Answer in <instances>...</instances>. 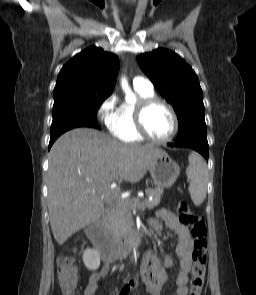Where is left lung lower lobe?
<instances>
[{
  "mask_svg": "<svg viewBox=\"0 0 256 295\" xmlns=\"http://www.w3.org/2000/svg\"><path fill=\"white\" fill-rule=\"evenodd\" d=\"M169 146L173 147H187L191 148L200 154H202L205 159L208 161V142L207 138H202V137H195V138H190V139H185L181 141H176L174 144L169 143Z\"/></svg>",
  "mask_w": 256,
  "mask_h": 295,
  "instance_id": "0a47b994",
  "label": "left lung lower lobe"
}]
</instances>
